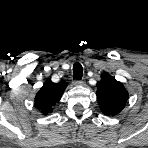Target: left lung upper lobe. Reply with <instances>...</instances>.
I'll return each instance as SVG.
<instances>
[{"label": "left lung upper lobe", "mask_w": 148, "mask_h": 148, "mask_svg": "<svg viewBox=\"0 0 148 148\" xmlns=\"http://www.w3.org/2000/svg\"><path fill=\"white\" fill-rule=\"evenodd\" d=\"M128 100V92L124 85L110 74L101 75L97 83V101L105 115L114 116L120 113Z\"/></svg>", "instance_id": "obj_1"}]
</instances>
